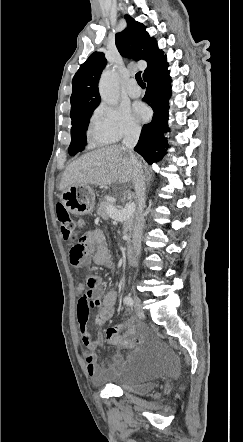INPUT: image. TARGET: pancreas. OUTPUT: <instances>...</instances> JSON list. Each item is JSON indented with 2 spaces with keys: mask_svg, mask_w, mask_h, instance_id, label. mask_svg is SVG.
<instances>
[{
  "mask_svg": "<svg viewBox=\"0 0 243 442\" xmlns=\"http://www.w3.org/2000/svg\"><path fill=\"white\" fill-rule=\"evenodd\" d=\"M108 207H114L116 208V206L114 205V203L110 200H103L99 205H98V209H97V214L102 217L104 220H108L110 218L108 212H107V208ZM133 226V220L130 219L129 221L126 222V228L131 230Z\"/></svg>",
  "mask_w": 243,
  "mask_h": 442,
  "instance_id": "cf45deb5",
  "label": "pancreas"
}]
</instances>
